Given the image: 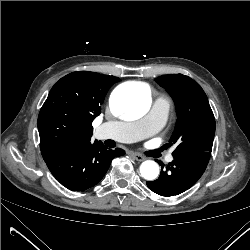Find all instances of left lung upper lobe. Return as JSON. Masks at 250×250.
Returning <instances> with one entry per match:
<instances>
[{"label":"left lung upper lobe","mask_w":250,"mask_h":250,"mask_svg":"<svg viewBox=\"0 0 250 250\" xmlns=\"http://www.w3.org/2000/svg\"><path fill=\"white\" fill-rule=\"evenodd\" d=\"M155 80L166 88L176 106L177 122L168 144L177 146L173 157L191 152L211 153L215 119L200 85L182 74L163 75Z\"/></svg>","instance_id":"obj_1"}]
</instances>
